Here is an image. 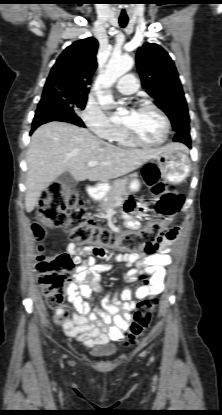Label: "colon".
Masks as SVG:
<instances>
[{
	"instance_id": "obj_1",
	"label": "colon",
	"mask_w": 222,
	"mask_h": 415,
	"mask_svg": "<svg viewBox=\"0 0 222 415\" xmlns=\"http://www.w3.org/2000/svg\"><path fill=\"white\" fill-rule=\"evenodd\" d=\"M144 179L155 199V215L145 227L123 234L113 233L90 219L77 189L53 182L38 205L33 224L35 237L41 240L49 230L62 228L74 244L96 254H103L108 249H118L127 254H152L169 231L168 225L180 209L182 197L160 180L155 167L144 169ZM139 207L146 210V202L142 201ZM38 251L36 269L47 304L51 308H60L65 286L70 280L69 273L76 262L67 253L51 257L45 255L42 248ZM156 305L157 300L153 297L137 303L128 333L129 344L148 328Z\"/></svg>"
}]
</instances>
